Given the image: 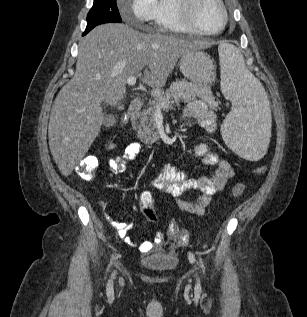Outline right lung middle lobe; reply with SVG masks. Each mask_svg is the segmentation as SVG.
Segmentation results:
<instances>
[{"label":"right lung middle lobe","instance_id":"right-lung-middle-lobe-1","mask_svg":"<svg viewBox=\"0 0 307 317\" xmlns=\"http://www.w3.org/2000/svg\"><path fill=\"white\" fill-rule=\"evenodd\" d=\"M120 22H122V19L116 0H94V4L87 15V27L83 35L97 25Z\"/></svg>","mask_w":307,"mask_h":317}]
</instances>
